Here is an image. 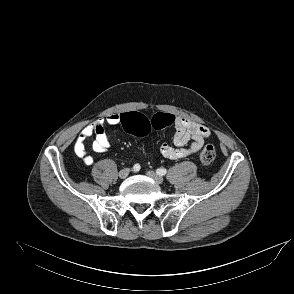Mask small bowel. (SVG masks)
Returning <instances> with one entry per match:
<instances>
[{
  "instance_id": "small-bowel-1",
  "label": "small bowel",
  "mask_w": 294,
  "mask_h": 294,
  "mask_svg": "<svg viewBox=\"0 0 294 294\" xmlns=\"http://www.w3.org/2000/svg\"><path fill=\"white\" fill-rule=\"evenodd\" d=\"M121 119L122 114L114 113L84 127L74 145L75 154L86 165H92L94 159L86 151L87 140L94 136L93 151L97 153L106 152L111 147V142L105 132V126L118 125L121 123ZM209 136L210 130L206 126L178 117L175 119L173 145L163 143L160 146V153L163 157L171 160L187 157L199 151L204 144V140Z\"/></svg>"
}]
</instances>
